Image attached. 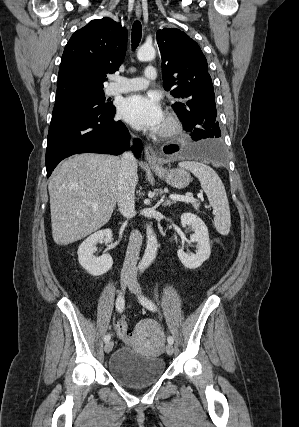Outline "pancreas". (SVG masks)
I'll use <instances>...</instances> for the list:
<instances>
[{
  "mask_svg": "<svg viewBox=\"0 0 299 427\" xmlns=\"http://www.w3.org/2000/svg\"><path fill=\"white\" fill-rule=\"evenodd\" d=\"M191 204H192V206L196 209V210H198L199 209V206H200V204L199 203H197V202H190Z\"/></svg>",
  "mask_w": 299,
  "mask_h": 427,
  "instance_id": "obj_1",
  "label": "pancreas"
}]
</instances>
